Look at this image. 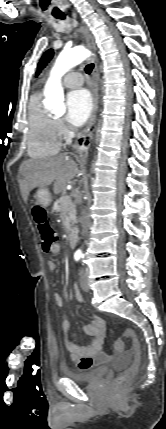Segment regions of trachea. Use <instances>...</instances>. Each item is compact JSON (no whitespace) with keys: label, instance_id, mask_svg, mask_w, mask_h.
Wrapping results in <instances>:
<instances>
[{"label":"trachea","instance_id":"obj_1","mask_svg":"<svg viewBox=\"0 0 166 429\" xmlns=\"http://www.w3.org/2000/svg\"><path fill=\"white\" fill-rule=\"evenodd\" d=\"M53 16L55 18L62 19V20H64L66 18V15L64 13H62V12H54ZM93 68H94V64H88L85 67V72L87 74H90L92 72Z\"/></svg>","mask_w":166,"mask_h":429}]
</instances>
